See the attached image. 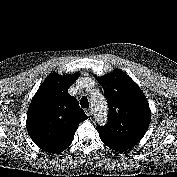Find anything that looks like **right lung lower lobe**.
Masks as SVG:
<instances>
[{"mask_svg": "<svg viewBox=\"0 0 177 177\" xmlns=\"http://www.w3.org/2000/svg\"><path fill=\"white\" fill-rule=\"evenodd\" d=\"M39 147L49 153H57V150L49 144H42Z\"/></svg>", "mask_w": 177, "mask_h": 177, "instance_id": "98d812e1", "label": "right lung lower lobe"}]
</instances>
